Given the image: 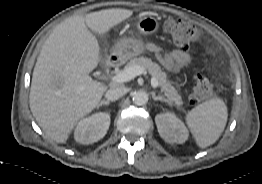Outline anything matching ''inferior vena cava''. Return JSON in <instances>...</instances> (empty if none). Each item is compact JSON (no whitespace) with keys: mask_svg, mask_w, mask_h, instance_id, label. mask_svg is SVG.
<instances>
[{"mask_svg":"<svg viewBox=\"0 0 262 184\" xmlns=\"http://www.w3.org/2000/svg\"><path fill=\"white\" fill-rule=\"evenodd\" d=\"M125 93L126 89L124 87H113L106 92L105 98L107 101H116L125 95Z\"/></svg>","mask_w":262,"mask_h":184,"instance_id":"obj_1","label":"inferior vena cava"}]
</instances>
